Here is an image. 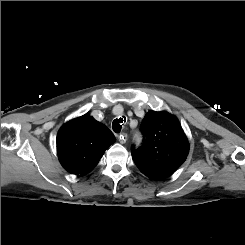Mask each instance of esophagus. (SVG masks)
<instances>
[{
	"mask_svg": "<svg viewBox=\"0 0 245 245\" xmlns=\"http://www.w3.org/2000/svg\"><path fill=\"white\" fill-rule=\"evenodd\" d=\"M118 139H119V142H120L121 144L126 143V141H127V139H128L127 133H121V134L118 136Z\"/></svg>",
	"mask_w": 245,
	"mask_h": 245,
	"instance_id": "1",
	"label": "esophagus"
}]
</instances>
